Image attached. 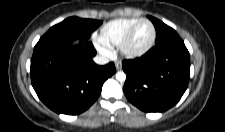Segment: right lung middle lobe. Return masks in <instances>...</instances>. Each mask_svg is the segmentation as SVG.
<instances>
[{"label":"right lung middle lobe","instance_id":"1","mask_svg":"<svg viewBox=\"0 0 225 132\" xmlns=\"http://www.w3.org/2000/svg\"><path fill=\"white\" fill-rule=\"evenodd\" d=\"M101 23L99 20L70 17L51 27L44 36H71L88 39Z\"/></svg>","mask_w":225,"mask_h":132}]
</instances>
